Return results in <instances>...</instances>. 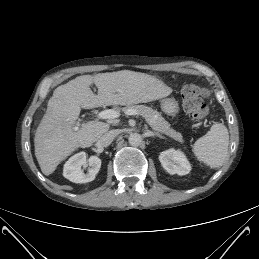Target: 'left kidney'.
<instances>
[{
	"instance_id": "obj_1",
	"label": "left kidney",
	"mask_w": 259,
	"mask_h": 259,
	"mask_svg": "<svg viewBox=\"0 0 259 259\" xmlns=\"http://www.w3.org/2000/svg\"><path fill=\"white\" fill-rule=\"evenodd\" d=\"M163 168L169 174L186 175L190 172L191 166L185 155L180 150L169 149L159 155Z\"/></svg>"
}]
</instances>
